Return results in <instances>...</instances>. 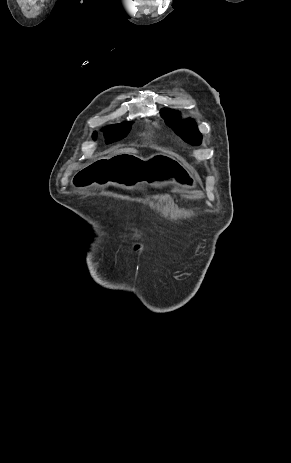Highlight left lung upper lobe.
<instances>
[{"mask_svg":"<svg viewBox=\"0 0 291 463\" xmlns=\"http://www.w3.org/2000/svg\"><path fill=\"white\" fill-rule=\"evenodd\" d=\"M160 112L166 123L187 142L193 145L201 143L202 135L198 131L196 124L191 119L182 121L180 118V112L171 109H161Z\"/></svg>","mask_w":291,"mask_h":463,"instance_id":"1","label":"left lung upper lobe"}]
</instances>
